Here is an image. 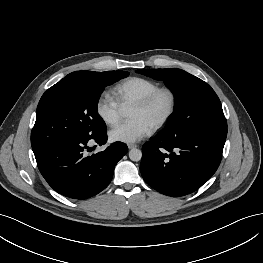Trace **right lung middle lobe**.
Segmentation results:
<instances>
[{
  "mask_svg": "<svg viewBox=\"0 0 263 263\" xmlns=\"http://www.w3.org/2000/svg\"><path fill=\"white\" fill-rule=\"evenodd\" d=\"M128 75L125 71H88L78 77L66 76L49 88L37 106L31 132L33 152L61 140L93 137L106 130L98 115V100L107 85Z\"/></svg>",
  "mask_w": 263,
  "mask_h": 263,
  "instance_id": "right-lung-middle-lobe-1",
  "label": "right lung middle lobe"
}]
</instances>
